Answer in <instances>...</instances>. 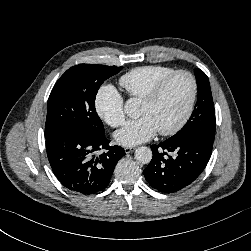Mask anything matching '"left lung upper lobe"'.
I'll use <instances>...</instances> for the list:
<instances>
[{
	"label": "left lung upper lobe",
	"instance_id": "obj_1",
	"mask_svg": "<svg viewBox=\"0 0 251 251\" xmlns=\"http://www.w3.org/2000/svg\"><path fill=\"white\" fill-rule=\"evenodd\" d=\"M195 76L198 87L195 109L186 125L169 140L190 135H202L214 140L216 120L209 79L200 69L195 70Z\"/></svg>",
	"mask_w": 251,
	"mask_h": 251
}]
</instances>
